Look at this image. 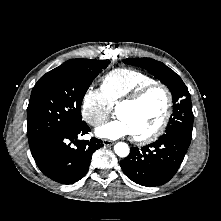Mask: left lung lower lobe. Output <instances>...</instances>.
I'll return each mask as SVG.
<instances>
[{"label": "left lung lower lobe", "instance_id": "1", "mask_svg": "<svg viewBox=\"0 0 221 221\" xmlns=\"http://www.w3.org/2000/svg\"><path fill=\"white\" fill-rule=\"evenodd\" d=\"M190 145V140L162 135L157 141L138 149L121 162L129 179L143 186H159L168 182L179 169Z\"/></svg>", "mask_w": 221, "mask_h": 221}]
</instances>
